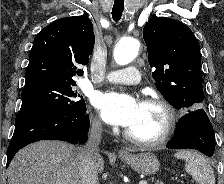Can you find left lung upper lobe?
Masks as SVG:
<instances>
[{
    "label": "left lung upper lobe",
    "instance_id": "1",
    "mask_svg": "<svg viewBox=\"0 0 224 184\" xmlns=\"http://www.w3.org/2000/svg\"><path fill=\"white\" fill-rule=\"evenodd\" d=\"M143 38L155 86L163 97L176 109L201 108V55L193 32L177 20L154 16L145 24Z\"/></svg>",
    "mask_w": 224,
    "mask_h": 184
}]
</instances>
